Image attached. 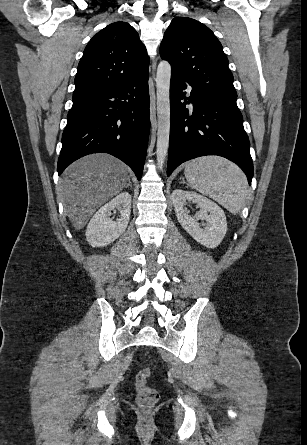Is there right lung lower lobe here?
I'll return each instance as SVG.
<instances>
[{
	"mask_svg": "<svg viewBox=\"0 0 307 445\" xmlns=\"http://www.w3.org/2000/svg\"><path fill=\"white\" fill-rule=\"evenodd\" d=\"M149 72L127 82L73 95L58 173L91 153L121 159L141 179L149 136Z\"/></svg>",
	"mask_w": 307,
	"mask_h": 445,
	"instance_id": "right-lung-lower-lobe-1",
	"label": "right lung lower lobe"
}]
</instances>
